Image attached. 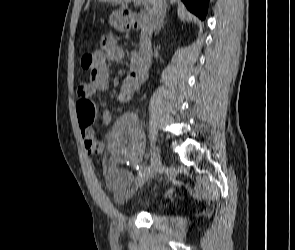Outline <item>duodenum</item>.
<instances>
[{"instance_id":"1","label":"duodenum","mask_w":295,"mask_h":250,"mask_svg":"<svg viewBox=\"0 0 295 250\" xmlns=\"http://www.w3.org/2000/svg\"><path fill=\"white\" fill-rule=\"evenodd\" d=\"M123 21L128 22L133 29L142 30L145 33H151L154 30V23L140 12L122 11ZM151 54V43L147 39L143 53L135 59L133 72L139 81L147 77L148 59Z\"/></svg>"}]
</instances>
